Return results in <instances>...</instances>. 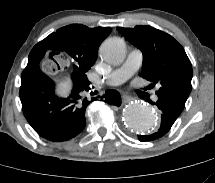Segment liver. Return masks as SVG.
<instances>
[{"label":"liver","instance_id":"liver-1","mask_svg":"<svg viewBox=\"0 0 215 183\" xmlns=\"http://www.w3.org/2000/svg\"><path fill=\"white\" fill-rule=\"evenodd\" d=\"M70 90V83L67 81H63L60 83L59 88H58V93L61 96H67Z\"/></svg>","mask_w":215,"mask_h":183}]
</instances>
